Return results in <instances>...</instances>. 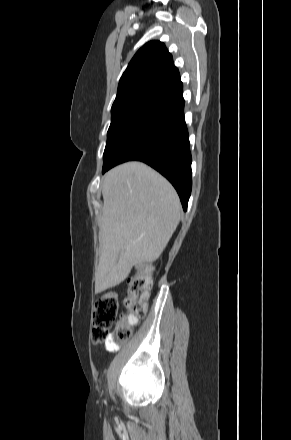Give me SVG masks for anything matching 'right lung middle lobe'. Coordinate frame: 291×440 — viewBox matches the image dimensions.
<instances>
[{
	"instance_id": "right-lung-middle-lobe-1",
	"label": "right lung middle lobe",
	"mask_w": 291,
	"mask_h": 440,
	"mask_svg": "<svg viewBox=\"0 0 291 440\" xmlns=\"http://www.w3.org/2000/svg\"><path fill=\"white\" fill-rule=\"evenodd\" d=\"M153 100L151 98H136L112 105L111 124L103 154L102 173L107 171L112 157L140 122Z\"/></svg>"
}]
</instances>
